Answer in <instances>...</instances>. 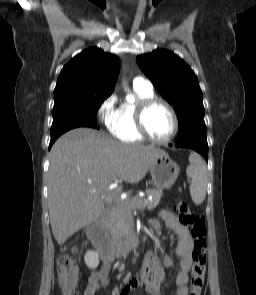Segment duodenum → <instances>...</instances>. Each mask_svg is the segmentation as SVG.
<instances>
[{
	"instance_id": "duodenum-1",
	"label": "duodenum",
	"mask_w": 256,
	"mask_h": 295,
	"mask_svg": "<svg viewBox=\"0 0 256 295\" xmlns=\"http://www.w3.org/2000/svg\"><path fill=\"white\" fill-rule=\"evenodd\" d=\"M109 215L103 212L87 228V236L93 243L94 247L101 254L104 263H113L119 257L129 253L132 249L141 243V234L137 230L133 231L124 241L114 244L107 237V222Z\"/></svg>"
}]
</instances>
